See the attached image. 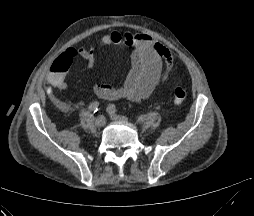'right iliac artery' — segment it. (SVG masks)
<instances>
[{
  "mask_svg": "<svg viewBox=\"0 0 254 216\" xmlns=\"http://www.w3.org/2000/svg\"><path fill=\"white\" fill-rule=\"evenodd\" d=\"M98 108H99V102L95 101V102H92L90 105H89V111L95 113L98 111Z\"/></svg>",
  "mask_w": 254,
  "mask_h": 216,
  "instance_id": "right-iliac-artery-1",
  "label": "right iliac artery"
}]
</instances>
